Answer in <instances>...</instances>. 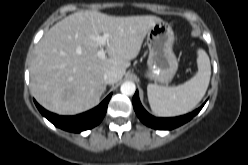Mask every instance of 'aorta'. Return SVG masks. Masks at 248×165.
I'll return each mask as SVG.
<instances>
[{
  "label": "aorta",
  "mask_w": 248,
  "mask_h": 165,
  "mask_svg": "<svg viewBox=\"0 0 248 165\" xmlns=\"http://www.w3.org/2000/svg\"><path fill=\"white\" fill-rule=\"evenodd\" d=\"M135 90V84L130 81L124 82L120 87L121 93L128 96L133 95L135 93Z\"/></svg>",
  "instance_id": "1"
}]
</instances>
